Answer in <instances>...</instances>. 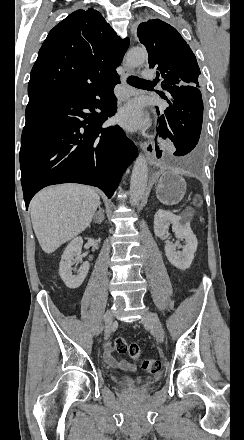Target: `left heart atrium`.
Instances as JSON below:
<instances>
[{"label": "left heart atrium", "instance_id": "39dd6f15", "mask_svg": "<svg viewBox=\"0 0 244 440\" xmlns=\"http://www.w3.org/2000/svg\"><path fill=\"white\" fill-rule=\"evenodd\" d=\"M115 119L129 129L139 128L147 121V117L143 113V105L138 100L122 107Z\"/></svg>", "mask_w": 244, "mask_h": 440}]
</instances>
